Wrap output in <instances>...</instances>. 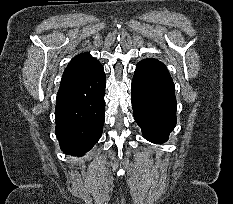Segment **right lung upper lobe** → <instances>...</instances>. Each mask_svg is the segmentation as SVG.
Segmentation results:
<instances>
[{
	"label": "right lung upper lobe",
	"mask_w": 233,
	"mask_h": 204,
	"mask_svg": "<svg viewBox=\"0 0 233 204\" xmlns=\"http://www.w3.org/2000/svg\"><path fill=\"white\" fill-rule=\"evenodd\" d=\"M101 64L88 53H82L74 57L65 69L61 84L76 81L91 74Z\"/></svg>",
	"instance_id": "cb5924a9"
}]
</instances>
